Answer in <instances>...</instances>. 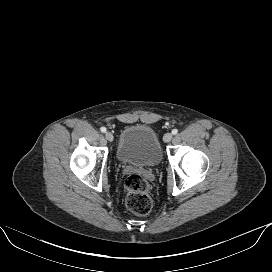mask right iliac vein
Here are the masks:
<instances>
[{
  "label": "right iliac vein",
  "mask_w": 272,
  "mask_h": 272,
  "mask_svg": "<svg viewBox=\"0 0 272 272\" xmlns=\"http://www.w3.org/2000/svg\"><path fill=\"white\" fill-rule=\"evenodd\" d=\"M106 136V139L109 141V142H112L114 137H113V134L111 132H106L105 134Z\"/></svg>",
  "instance_id": "obj_1"
}]
</instances>
